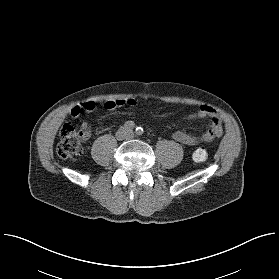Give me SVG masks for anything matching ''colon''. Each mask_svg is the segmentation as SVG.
Returning a JSON list of instances; mask_svg holds the SVG:
<instances>
[{
	"label": "colon",
	"instance_id": "1",
	"mask_svg": "<svg viewBox=\"0 0 279 279\" xmlns=\"http://www.w3.org/2000/svg\"><path fill=\"white\" fill-rule=\"evenodd\" d=\"M205 115L210 118L211 122L203 141L210 142L222 134V125L216 110L208 111ZM89 135L90 127L84 121L77 119L74 122L63 124L58 133L57 152L59 156L64 159L80 157L84 152L83 144ZM193 158L196 162L207 160V148L205 146L197 147Z\"/></svg>",
	"mask_w": 279,
	"mask_h": 279
}]
</instances>
